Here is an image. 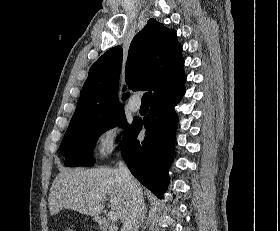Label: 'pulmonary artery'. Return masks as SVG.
I'll return each mask as SVG.
<instances>
[{
  "instance_id": "e3ab8cb5",
  "label": "pulmonary artery",
  "mask_w": 280,
  "mask_h": 231,
  "mask_svg": "<svg viewBox=\"0 0 280 231\" xmlns=\"http://www.w3.org/2000/svg\"><path fill=\"white\" fill-rule=\"evenodd\" d=\"M140 103L135 102L133 97L129 100V107L133 112H137L140 109Z\"/></svg>"
}]
</instances>
